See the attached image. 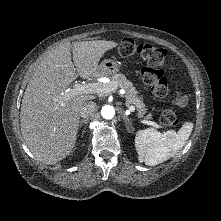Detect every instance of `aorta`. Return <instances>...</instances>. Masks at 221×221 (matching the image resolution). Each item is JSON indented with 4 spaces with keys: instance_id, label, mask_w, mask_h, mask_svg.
Returning a JSON list of instances; mask_svg holds the SVG:
<instances>
[{
    "instance_id": "aorta-1",
    "label": "aorta",
    "mask_w": 221,
    "mask_h": 221,
    "mask_svg": "<svg viewBox=\"0 0 221 221\" xmlns=\"http://www.w3.org/2000/svg\"><path fill=\"white\" fill-rule=\"evenodd\" d=\"M101 115L104 119H112L115 115V109L111 105H105L101 109Z\"/></svg>"
}]
</instances>
